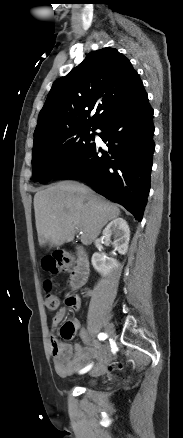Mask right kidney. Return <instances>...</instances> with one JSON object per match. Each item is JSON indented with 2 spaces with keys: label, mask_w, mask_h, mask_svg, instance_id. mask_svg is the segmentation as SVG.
Here are the masks:
<instances>
[{
  "label": "right kidney",
  "mask_w": 183,
  "mask_h": 438,
  "mask_svg": "<svg viewBox=\"0 0 183 438\" xmlns=\"http://www.w3.org/2000/svg\"><path fill=\"white\" fill-rule=\"evenodd\" d=\"M102 234V239L106 243L110 241V238L113 235L114 242L112 245L115 250L122 255L127 253L130 240V229L127 222L123 218H116L112 220L103 230ZM91 262L94 269L103 276H107L119 265L116 259L109 258L105 254L98 252L93 254Z\"/></svg>",
  "instance_id": "ca27d5eb"
}]
</instances>
